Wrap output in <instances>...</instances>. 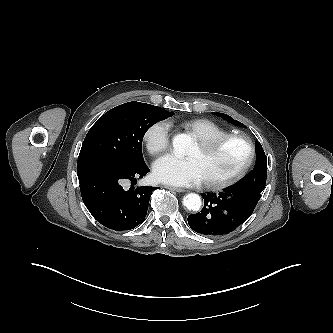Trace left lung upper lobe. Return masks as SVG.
Instances as JSON below:
<instances>
[{
  "label": "left lung upper lobe",
  "mask_w": 333,
  "mask_h": 333,
  "mask_svg": "<svg viewBox=\"0 0 333 333\" xmlns=\"http://www.w3.org/2000/svg\"><path fill=\"white\" fill-rule=\"evenodd\" d=\"M215 115L224 118L226 121L238 125L244 126L239 121L234 120L227 114L224 113H215ZM256 150V164L253 171L248 174L243 180L235 185L231 186V188L235 190H242L247 192H253L257 195L261 196V192L265 188L266 178H267V158L263 151V148L259 142H256L255 145Z\"/></svg>",
  "instance_id": "left-lung-upper-lobe-1"
}]
</instances>
